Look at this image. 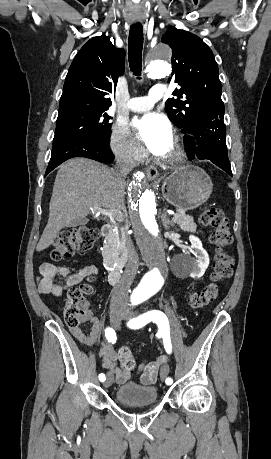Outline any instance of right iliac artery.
Listing matches in <instances>:
<instances>
[{
	"instance_id": "1",
	"label": "right iliac artery",
	"mask_w": 271,
	"mask_h": 459,
	"mask_svg": "<svg viewBox=\"0 0 271 459\" xmlns=\"http://www.w3.org/2000/svg\"><path fill=\"white\" fill-rule=\"evenodd\" d=\"M105 336H106L108 342H110L112 344H114L116 342V340H117L116 333H115L113 328H110V327L106 328L105 329ZM105 379H106L105 374H103V373L99 374V380L100 381H105Z\"/></svg>"
}]
</instances>
